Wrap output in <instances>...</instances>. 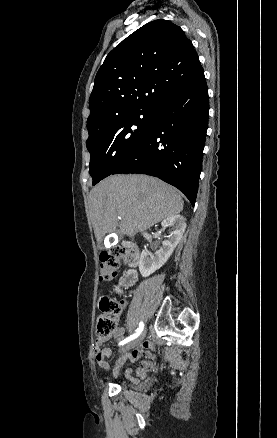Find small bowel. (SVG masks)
I'll list each match as a JSON object with an SVG mask.
<instances>
[{
  "label": "small bowel",
  "mask_w": 277,
  "mask_h": 438,
  "mask_svg": "<svg viewBox=\"0 0 277 438\" xmlns=\"http://www.w3.org/2000/svg\"><path fill=\"white\" fill-rule=\"evenodd\" d=\"M123 334H124V328L123 327H116L114 329V331L112 332L111 337H113L115 339H120V338H122ZM106 340H107V337L106 338L98 337L97 340H96V345L99 346V345L103 344ZM153 349H154V346H153L152 343L144 342V343L141 344V349L140 350L135 349L130 354V358L132 360H135V361H141V360H143L144 357L148 356V351L149 350H153ZM110 353H111L110 348H108V347L103 348V350H102V354L103 355L108 356V355H110ZM93 354L94 355H98L97 356V361H98L97 365H98V367H100V368L105 367L106 362L104 360V356L100 355L101 354V349L100 348H94L93 349ZM122 364H123V359H121L118 362L117 367H116L115 372H114L115 375L118 374L119 368L121 367ZM151 367L152 366H151V364L149 362L144 361L143 362V367L141 369L137 370V374L140 376L141 379H144L145 378L144 377L145 376V371L150 369ZM134 382H137V381L135 380Z\"/></svg>",
  "instance_id": "obj_1"
}]
</instances>
